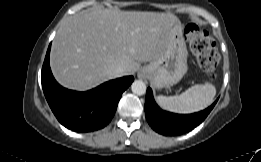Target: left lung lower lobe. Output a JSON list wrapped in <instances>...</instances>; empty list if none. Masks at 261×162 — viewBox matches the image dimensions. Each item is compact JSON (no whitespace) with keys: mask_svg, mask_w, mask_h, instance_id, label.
<instances>
[{"mask_svg":"<svg viewBox=\"0 0 261 162\" xmlns=\"http://www.w3.org/2000/svg\"><path fill=\"white\" fill-rule=\"evenodd\" d=\"M217 100L203 111L193 114H175L163 111L156 104L151 88H147L145 115L149 125L164 136H177L193 130L201 124L215 106Z\"/></svg>","mask_w":261,"mask_h":162,"instance_id":"1","label":"left lung lower lobe"}]
</instances>
